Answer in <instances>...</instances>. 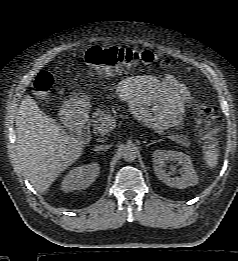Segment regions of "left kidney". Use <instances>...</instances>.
I'll list each match as a JSON object with an SVG mask.
<instances>
[{
  "instance_id": "5707ae66",
  "label": "left kidney",
  "mask_w": 238,
  "mask_h": 261,
  "mask_svg": "<svg viewBox=\"0 0 238 261\" xmlns=\"http://www.w3.org/2000/svg\"><path fill=\"white\" fill-rule=\"evenodd\" d=\"M168 162H177L182 166L181 177H170L165 170ZM153 168L156 176L170 187L183 189L198 183V176L192 165L191 158L182 152L155 150L153 153Z\"/></svg>"
}]
</instances>
